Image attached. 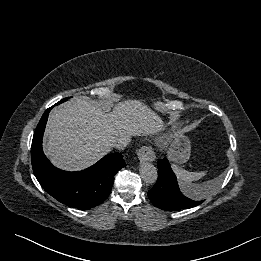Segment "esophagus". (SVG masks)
<instances>
[{
    "label": "esophagus",
    "instance_id": "esophagus-1",
    "mask_svg": "<svg viewBox=\"0 0 261 261\" xmlns=\"http://www.w3.org/2000/svg\"><path fill=\"white\" fill-rule=\"evenodd\" d=\"M140 162H151L155 159V152L151 146H142L137 151Z\"/></svg>",
    "mask_w": 261,
    "mask_h": 261
}]
</instances>
